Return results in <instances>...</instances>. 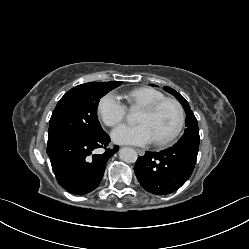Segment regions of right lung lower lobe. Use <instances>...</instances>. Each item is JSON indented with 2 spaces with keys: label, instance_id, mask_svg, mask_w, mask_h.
Here are the masks:
<instances>
[{
  "label": "right lung lower lobe",
  "instance_id": "right-lung-lower-lobe-1",
  "mask_svg": "<svg viewBox=\"0 0 249 249\" xmlns=\"http://www.w3.org/2000/svg\"><path fill=\"white\" fill-rule=\"evenodd\" d=\"M109 135L102 131L94 137L66 139L47 147L52 169L58 183L69 193L84 195L100 183L108 159L118 150L106 148ZM98 148H106L103 154H94Z\"/></svg>",
  "mask_w": 249,
  "mask_h": 249
}]
</instances>
